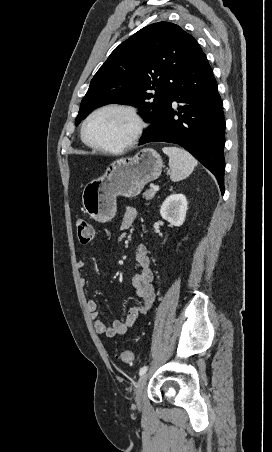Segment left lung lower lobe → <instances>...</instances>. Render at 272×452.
Segmentation results:
<instances>
[{"instance_id": "0a47b994", "label": "left lung lower lobe", "mask_w": 272, "mask_h": 452, "mask_svg": "<svg viewBox=\"0 0 272 452\" xmlns=\"http://www.w3.org/2000/svg\"><path fill=\"white\" fill-rule=\"evenodd\" d=\"M173 101L178 103L177 109L173 108ZM156 141L176 143L187 149L215 175L224 193L223 102L199 45L177 77L166 109L143 133L140 144Z\"/></svg>"}]
</instances>
